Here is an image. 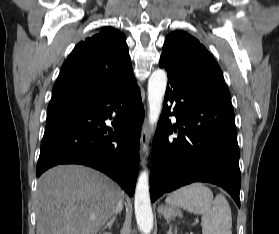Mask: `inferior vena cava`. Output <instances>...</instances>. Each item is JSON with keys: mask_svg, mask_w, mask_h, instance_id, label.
Instances as JSON below:
<instances>
[{"mask_svg": "<svg viewBox=\"0 0 279 234\" xmlns=\"http://www.w3.org/2000/svg\"><path fill=\"white\" fill-rule=\"evenodd\" d=\"M122 210V201L120 200L116 206L115 212H120Z\"/></svg>", "mask_w": 279, "mask_h": 234, "instance_id": "602c4592", "label": "inferior vena cava"}]
</instances>
